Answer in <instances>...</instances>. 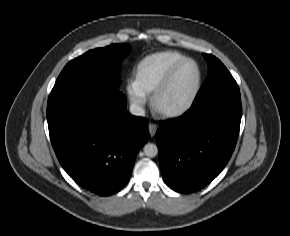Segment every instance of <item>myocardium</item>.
I'll list each match as a JSON object with an SVG mask.
<instances>
[{
    "label": "myocardium",
    "instance_id": "obj_1",
    "mask_svg": "<svg viewBox=\"0 0 290 236\" xmlns=\"http://www.w3.org/2000/svg\"><path fill=\"white\" fill-rule=\"evenodd\" d=\"M186 63H192L194 64L196 71H197V79L195 88L190 96V98L180 107L174 108V109H165L159 106L158 100L162 93L168 88L170 85L175 73L178 71V69L183 66ZM202 86V71L197 61H195L192 58H183L182 60L178 61L168 72L167 76L163 80V82L153 91V94L151 96V107L153 112L161 117V118H175L179 117L183 114H185L187 111H189L194 103L197 100V97L200 93Z\"/></svg>",
    "mask_w": 290,
    "mask_h": 236
}]
</instances>
